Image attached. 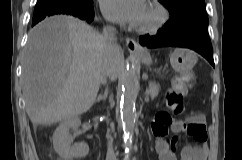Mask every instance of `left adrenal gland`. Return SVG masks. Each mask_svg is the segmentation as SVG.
<instances>
[{
    "mask_svg": "<svg viewBox=\"0 0 242 160\" xmlns=\"http://www.w3.org/2000/svg\"><path fill=\"white\" fill-rule=\"evenodd\" d=\"M148 100V96H146V101Z\"/></svg>",
    "mask_w": 242,
    "mask_h": 160,
    "instance_id": "left-adrenal-gland-1",
    "label": "left adrenal gland"
}]
</instances>
